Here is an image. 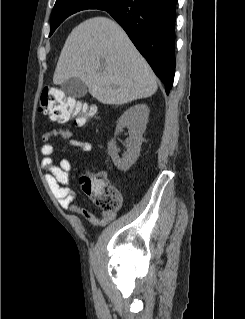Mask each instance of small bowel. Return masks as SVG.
Wrapping results in <instances>:
<instances>
[{
	"mask_svg": "<svg viewBox=\"0 0 245 319\" xmlns=\"http://www.w3.org/2000/svg\"><path fill=\"white\" fill-rule=\"evenodd\" d=\"M53 137H58L65 141L68 147L79 149L85 153L91 151L92 144L89 141L74 138L72 131L69 129H53L43 134L41 166L47 171L44 175L45 181L60 206L81 215L95 225H105L113 220L116 215L115 212L102 211L96 214L82 208L75 202L76 194L70 187L72 163L67 158H61L57 164L54 163V149L51 143Z\"/></svg>",
	"mask_w": 245,
	"mask_h": 319,
	"instance_id": "c3829d8e",
	"label": "small bowel"
}]
</instances>
